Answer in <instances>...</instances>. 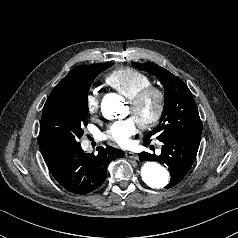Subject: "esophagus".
Wrapping results in <instances>:
<instances>
[{
	"instance_id": "34e87169",
	"label": "esophagus",
	"mask_w": 238,
	"mask_h": 238,
	"mask_svg": "<svg viewBox=\"0 0 238 238\" xmlns=\"http://www.w3.org/2000/svg\"><path fill=\"white\" fill-rule=\"evenodd\" d=\"M125 156H126L127 158H131V159H134V160H137V159H138V155L135 154V153H133V152H130V151H127V152L125 153Z\"/></svg>"
}]
</instances>
